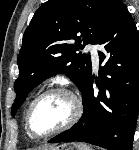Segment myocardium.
<instances>
[{"instance_id":"f54148a6","label":"myocardium","mask_w":139,"mask_h":150,"mask_svg":"<svg viewBox=\"0 0 139 150\" xmlns=\"http://www.w3.org/2000/svg\"><path fill=\"white\" fill-rule=\"evenodd\" d=\"M52 93L66 94L72 101L73 113H72L70 119L62 126L56 128L50 132L44 133V134L36 133L32 127V116H33L34 109H35L36 105L38 104V102L43 97H45L49 94H52ZM82 113H83V103H82L80 97L73 90H71L65 86L49 87V88L45 89L44 91H42L41 93H39L30 103L29 108L26 113V117H25L26 129H27L29 135L32 136L33 138L45 139V138L62 133L64 131L72 128L79 121V119L82 116Z\"/></svg>"}]
</instances>
